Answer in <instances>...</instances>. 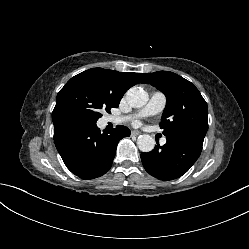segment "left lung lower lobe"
<instances>
[{
	"label": "left lung lower lobe",
	"mask_w": 249,
	"mask_h": 249,
	"mask_svg": "<svg viewBox=\"0 0 249 249\" xmlns=\"http://www.w3.org/2000/svg\"><path fill=\"white\" fill-rule=\"evenodd\" d=\"M163 146L155 145L148 153H141L145 170L160 180H173L185 174L198 159L204 138L178 134L166 137Z\"/></svg>",
	"instance_id": "left-lung-lower-lobe-1"
}]
</instances>
